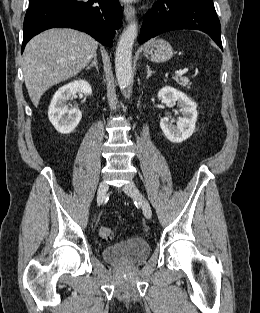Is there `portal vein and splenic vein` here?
Wrapping results in <instances>:
<instances>
[{"instance_id": "portal-vein-and-splenic-vein-1", "label": "portal vein and splenic vein", "mask_w": 260, "mask_h": 313, "mask_svg": "<svg viewBox=\"0 0 260 313\" xmlns=\"http://www.w3.org/2000/svg\"><path fill=\"white\" fill-rule=\"evenodd\" d=\"M187 72V69L177 71V76H182L184 73Z\"/></svg>"}]
</instances>
